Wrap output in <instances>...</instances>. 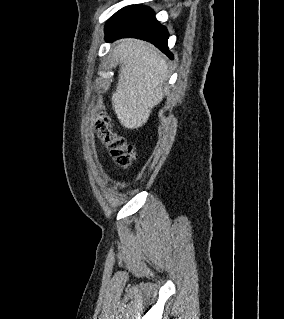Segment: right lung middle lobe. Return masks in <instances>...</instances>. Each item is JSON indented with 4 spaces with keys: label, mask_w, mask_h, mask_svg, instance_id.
I'll return each mask as SVG.
<instances>
[{
    "label": "right lung middle lobe",
    "mask_w": 284,
    "mask_h": 319,
    "mask_svg": "<svg viewBox=\"0 0 284 319\" xmlns=\"http://www.w3.org/2000/svg\"><path fill=\"white\" fill-rule=\"evenodd\" d=\"M131 7H132V5H131V6L124 7V8H122L121 10H119L118 12H116V13L108 20V22H107L105 28H107L108 26H110L115 20H117L121 15H123L125 12H127Z\"/></svg>",
    "instance_id": "1"
}]
</instances>
